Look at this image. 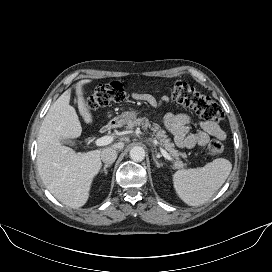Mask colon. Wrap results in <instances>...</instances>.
I'll return each instance as SVG.
<instances>
[{
	"label": "colon",
	"instance_id": "obj_1",
	"mask_svg": "<svg viewBox=\"0 0 272 272\" xmlns=\"http://www.w3.org/2000/svg\"><path fill=\"white\" fill-rule=\"evenodd\" d=\"M126 96L127 91L124 85L121 82L113 81L99 85L91 91L87 98L86 107L89 109L105 107L123 101ZM171 96L178 103L194 110L205 120L219 122L224 118V113L216 102L185 82L174 83L171 88ZM223 149V144L215 139L209 142L207 153L210 156H216L221 154Z\"/></svg>",
	"mask_w": 272,
	"mask_h": 272
}]
</instances>
